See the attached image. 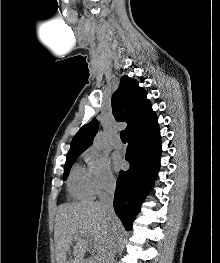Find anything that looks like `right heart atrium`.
I'll return each instance as SVG.
<instances>
[{
	"label": "right heart atrium",
	"instance_id": "obj_1",
	"mask_svg": "<svg viewBox=\"0 0 220 263\" xmlns=\"http://www.w3.org/2000/svg\"><path fill=\"white\" fill-rule=\"evenodd\" d=\"M83 157L88 165L94 193L101 195L113 189L116 179L108 159L93 149L86 150Z\"/></svg>",
	"mask_w": 220,
	"mask_h": 263
}]
</instances>
